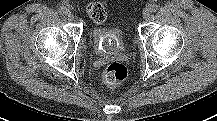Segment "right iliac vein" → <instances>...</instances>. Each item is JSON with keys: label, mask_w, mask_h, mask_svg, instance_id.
Instances as JSON below:
<instances>
[{"label": "right iliac vein", "mask_w": 217, "mask_h": 121, "mask_svg": "<svg viewBox=\"0 0 217 121\" xmlns=\"http://www.w3.org/2000/svg\"><path fill=\"white\" fill-rule=\"evenodd\" d=\"M67 17H68V20H69V21H73V20H74V15H73L72 12H68V13H67Z\"/></svg>", "instance_id": "right-iliac-vein-1"}]
</instances>
